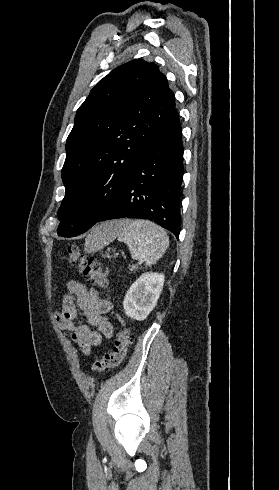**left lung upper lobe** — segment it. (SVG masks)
<instances>
[{
    "instance_id": "5c2ea615",
    "label": "left lung upper lobe",
    "mask_w": 279,
    "mask_h": 490,
    "mask_svg": "<svg viewBox=\"0 0 279 490\" xmlns=\"http://www.w3.org/2000/svg\"><path fill=\"white\" fill-rule=\"evenodd\" d=\"M174 110L165 75L142 59L117 67L91 90L66 142L58 235L86 232L113 207L144 144Z\"/></svg>"
}]
</instances>
